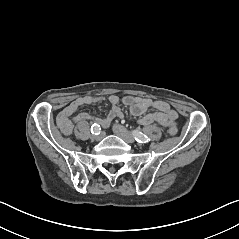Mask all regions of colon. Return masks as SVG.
Returning a JSON list of instances; mask_svg holds the SVG:
<instances>
[{
	"label": "colon",
	"instance_id": "colon-1",
	"mask_svg": "<svg viewBox=\"0 0 239 239\" xmlns=\"http://www.w3.org/2000/svg\"><path fill=\"white\" fill-rule=\"evenodd\" d=\"M176 132H177V129H176V127L173 125V126H171L170 128H169V130H168V133H169V135H171V136H174L175 134H176Z\"/></svg>",
	"mask_w": 239,
	"mask_h": 239
}]
</instances>
